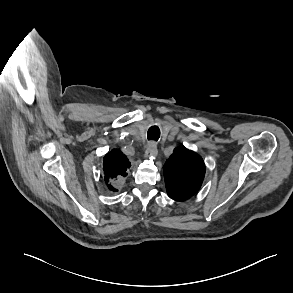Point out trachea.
Returning a JSON list of instances; mask_svg holds the SVG:
<instances>
[{"mask_svg":"<svg viewBox=\"0 0 293 293\" xmlns=\"http://www.w3.org/2000/svg\"><path fill=\"white\" fill-rule=\"evenodd\" d=\"M160 137V129L158 126H151L147 132L148 140H155L157 141Z\"/></svg>","mask_w":293,"mask_h":293,"instance_id":"3493384b","label":"trachea"}]
</instances>
